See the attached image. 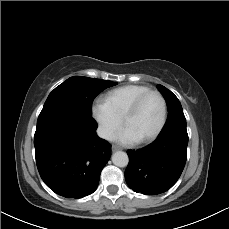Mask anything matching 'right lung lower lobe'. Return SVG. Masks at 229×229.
Returning a JSON list of instances; mask_svg holds the SVG:
<instances>
[{
    "label": "right lung lower lobe",
    "mask_w": 229,
    "mask_h": 229,
    "mask_svg": "<svg viewBox=\"0 0 229 229\" xmlns=\"http://www.w3.org/2000/svg\"><path fill=\"white\" fill-rule=\"evenodd\" d=\"M89 114L59 110L40 114L34 136L36 164L44 183L66 198L93 193L111 156Z\"/></svg>",
    "instance_id": "98d812e1"
}]
</instances>
